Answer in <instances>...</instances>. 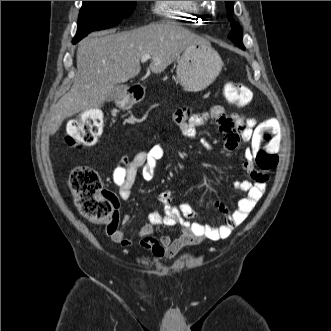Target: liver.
<instances>
[{
  "label": "liver",
  "instance_id": "liver-1",
  "mask_svg": "<svg viewBox=\"0 0 331 331\" xmlns=\"http://www.w3.org/2000/svg\"><path fill=\"white\" fill-rule=\"evenodd\" d=\"M202 37L172 22L153 23L130 31L92 33L77 49L74 83L46 119L47 134L54 135L74 114L101 108L114 85L127 82L140 71L143 55L151 56L153 73L163 72L191 44Z\"/></svg>",
  "mask_w": 331,
  "mask_h": 331
}]
</instances>
